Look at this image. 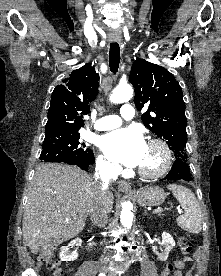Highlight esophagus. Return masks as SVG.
<instances>
[{
  "mask_svg": "<svg viewBox=\"0 0 221 276\" xmlns=\"http://www.w3.org/2000/svg\"><path fill=\"white\" fill-rule=\"evenodd\" d=\"M118 190L125 193H132L131 185L127 181H120L118 183Z\"/></svg>",
  "mask_w": 221,
  "mask_h": 276,
  "instance_id": "1",
  "label": "esophagus"
}]
</instances>
